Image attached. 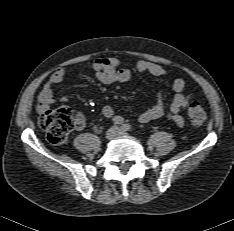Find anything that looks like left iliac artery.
Returning a JSON list of instances; mask_svg holds the SVG:
<instances>
[{
    "mask_svg": "<svg viewBox=\"0 0 234 231\" xmlns=\"http://www.w3.org/2000/svg\"><path fill=\"white\" fill-rule=\"evenodd\" d=\"M121 129L124 131H130L131 130V126L129 124H123L121 126Z\"/></svg>",
    "mask_w": 234,
    "mask_h": 231,
    "instance_id": "1",
    "label": "left iliac artery"
}]
</instances>
